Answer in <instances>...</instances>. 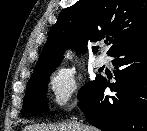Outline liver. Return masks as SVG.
I'll use <instances>...</instances> for the list:
<instances>
[{"instance_id":"obj_1","label":"liver","mask_w":147,"mask_h":131,"mask_svg":"<svg viewBox=\"0 0 147 131\" xmlns=\"http://www.w3.org/2000/svg\"><path fill=\"white\" fill-rule=\"evenodd\" d=\"M23 131H97L95 128L78 122H62L59 124H35L26 126Z\"/></svg>"}]
</instances>
